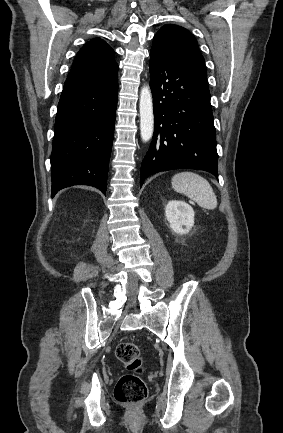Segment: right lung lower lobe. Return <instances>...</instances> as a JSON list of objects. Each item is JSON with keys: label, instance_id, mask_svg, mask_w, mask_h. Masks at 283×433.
<instances>
[{"label": "right lung lower lobe", "instance_id": "1", "mask_svg": "<svg viewBox=\"0 0 283 433\" xmlns=\"http://www.w3.org/2000/svg\"><path fill=\"white\" fill-rule=\"evenodd\" d=\"M117 91L118 76L62 92L51 154L52 197L73 185L94 186L106 194Z\"/></svg>", "mask_w": 283, "mask_h": 433}]
</instances>
